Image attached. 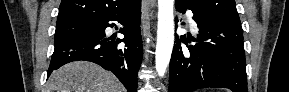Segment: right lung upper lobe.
<instances>
[{
	"label": "right lung upper lobe",
	"instance_id": "obj_1",
	"mask_svg": "<svg viewBox=\"0 0 289 92\" xmlns=\"http://www.w3.org/2000/svg\"><path fill=\"white\" fill-rule=\"evenodd\" d=\"M137 0H62L57 24L98 22L130 8Z\"/></svg>",
	"mask_w": 289,
	"mask_h": 92
}]
</instances>
